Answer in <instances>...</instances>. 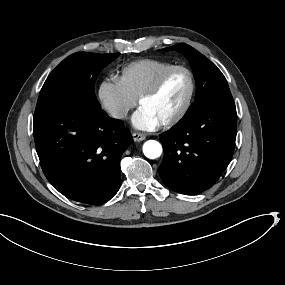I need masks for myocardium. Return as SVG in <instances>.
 <instances>
[{
    "label": "myocardium",
    "instance_id": "myocardium-1",
    "mask_svg": "<svg viewBox=\"0 0 285 285\" xmlns=\"http://www.w3.org/2000/svg\"><path fill=\"white\" fill-rule=\"evenodd\" d=\"M176 74H182L186 77L187 82H188V92L186 94L184 103L181 106V108L177 112H175L173 115H170L160 120V123L162 125L175 124L179 122L184 117V115L188 112L190 105H191V101L193 97V89H194L191 73L182 67H176V68H172L168 70L158 79V81L154 84V86H152L150 89L145 91L139 97V100H138V104L142 105L146 100L156 95L164 87V85Z\"/></svg>",
    "mask_w": 285,
    "mask_h": 285
}]
</instances>
